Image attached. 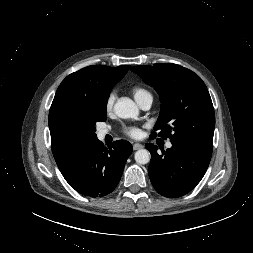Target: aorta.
I'll use <instances>...</instances> for the list:
<instances>
[{
	"label": "aorta",
	"mask_w": 253,
	"mask_h": 253,
	"mask_svg": "<svg viewBox=\"0 0 253 253\" xmlns=\"http://www.w3.org/2000/svg\"><path fill=\"white\" fill-rule=\"evenodd\" d=\"M115 114L122 119L137 118L139 109L130 99H122L114 105ZM135 161L138 164H147L150 161V153L146 149H139L135 153Z\"/></svg>",
	"instance_id": "762f6f07"
}]
</instances>
